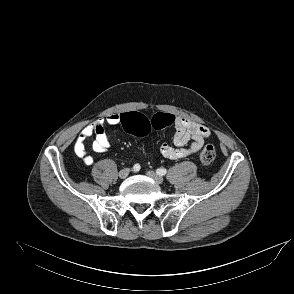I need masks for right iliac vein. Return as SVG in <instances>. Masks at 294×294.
Here are the masks:
<instances>
[{
    "label": "right iliac vein",
    "mask_w": 294,
    "mask_h": 294,
    "mask_svg": "<svg viewBox=\"0 0 294 294\" xmlns=\"http://www.w3.org/2000/svg\"><path fill=\"white\" fill-rule=\"evenodd\" d=\"M130 170L128 168H125V169H122L120 172H119V177L121 179H125L128 174H129Z\"/></svg>",
    "instance_id": "63e3f726"
}]
</instances>
